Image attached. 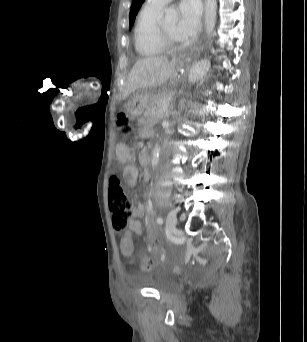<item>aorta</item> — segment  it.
<instances>
[{"mask_svg":"<svg viewBox=\"0 0 307 342\" xmlns=\"http://www.w3.org/2000/svg\"><path fill=\"white\" fill-rule=\"evenodd\" d=\"M165 16L164 22H168V24H176L179 20V12L177 8L174 6H170V8H164ZM204 24H205V32L207 34V38L211 40V36L214 32L215 24H216V14H217V2L216 0H205V8H204ZM208 68H210L209 60H201L198 64H194L192 66L189 74H188V82L189 84H193V82H198L201 80L202 76L206 74ZM160 152L161 148L159 144H156L152 150L151 156V166L152 168H156L159 164L160 160Z\"/></svg>","mask_w":307,"mask_h":342,"instance_id":"1","label":"aorta"}]
</instances>
